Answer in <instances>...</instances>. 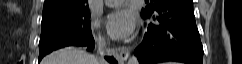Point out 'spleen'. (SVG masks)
<instances>
[{
    "label": "spleen",
    "instance_id": "obj_1",
    "mask_svg": "<svg viewBox=\"0 0 242 64\" xmlns=\"http://www.w3.org/2000/svg\"><path fill=\"white\" fill-rule=\"evenodd\" d=\"M168 64H176V63H168Z\"/></svg>",
    "mask_w": 242,
    "mask_h": 64
}]
</instances>
